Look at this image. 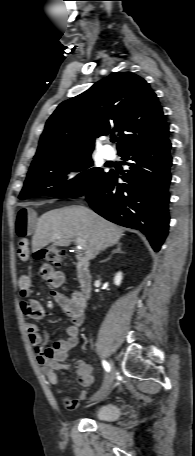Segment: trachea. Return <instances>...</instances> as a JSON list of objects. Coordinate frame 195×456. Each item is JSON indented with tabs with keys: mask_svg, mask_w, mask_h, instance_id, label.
<instances>
[{
	"mask_svg": "<svg viewBox=\"0 0 195 456\" xmlns=\"http://www.w3.org/2000/svg\"><path fill=\"white\" fill-rule=\"evenodd\" d=\"M116 140H117L116 138H112L111 139L112 142H116Z\"/></svg>",
	"mask_w": 195,
	"mask_h": 456,
	"instance_id": "trachea-1",
	"label": "trachea"
}]
</instances>
